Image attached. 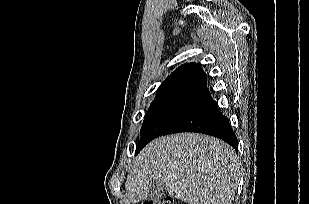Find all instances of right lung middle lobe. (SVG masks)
Instances as JSON below:
<instances>
[{
  "label": "right lung middle lobe",
  "mask_w": 309,
  "mask_h": 204,
  "mask_svg": "<svg viewBox=\"0 0 309 204\" xmlns=\"http://www.w3.org/2000/svg\"><path fill=\"white\" fill-rule=\"evenodd\" d=\"M193 103L162 102L152 103L148 109L140 131V141L136 145L138 153L151 140L158 137L167 127L185 113L196 107Z\"/></svg>",
  "instance_id": "1"
}]
</instances>
